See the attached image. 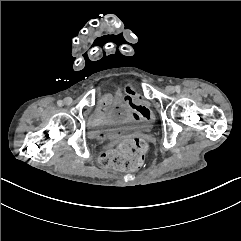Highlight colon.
Wrapping results in <instances>:
<instances>
[{
    "instance_id": "1",
    "label": "colon",
    "mask_w": 241,
    "mask_h": 241,
    "mask_svg": "<svg viewBox=\"0 0 241 241\" xmlns=\"http://www.w3.org/2000/svg\"><path fill=\"white\" fill-rule=\"evenodd\" d=\"M147 144L143 139L133 138L121 141L118 146L102 152L98 164L117 170L140 168L143 164Z\"/></svg>"
}]
</instances>
